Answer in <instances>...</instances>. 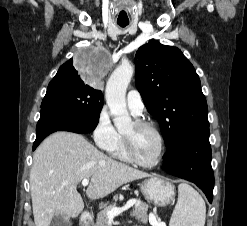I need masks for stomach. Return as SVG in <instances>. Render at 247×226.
<instances>
[{"instance_id":"0dacf381","label":"stomach","mask_w":247,"mask_h":226,"mask_svg":"<svg viewBox=\"0 0 247 226\" xmlns=\"http://www.w3.org/2000/svg\"><path fill=\"white\" fill-rule=\"evenodd\" d=\"M142 194L146 199L158 206L170 204L175 196V187L161 177H149L140 184Z\"/></svg>"}]
</instances>
